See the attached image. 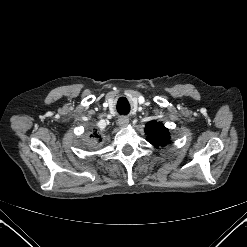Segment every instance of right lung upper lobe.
Instances as JSON below:
<instances>
[{
    "mask_svg": "<svg viewBox=\"0 0 247 247\" xmlns=\"http://www.w3.org/2000/svg\"><path fill=\"white\" fill-rule=\"evenodd\" d=\"M90 138L93 141V145L95 144L96 146L100 145V142L102 141V137L96 129H94V131L91 133Z\"/></svg>",
    "mask_w": 247,
    "mask_h": 247,
    "instance_id": "1",
    "label": "right lung upper lobe"
}]
</instances>
